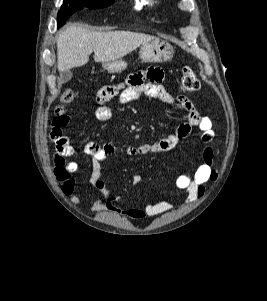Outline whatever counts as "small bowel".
<instances>
[{"instance_id":"1","label":"small bowel","mask_w":267,"mask_h":301,"mask_svg":"<svg viewBox=\"0 0 267 301\" xmlns=\"http://www.w3.org/2000/svg\"><path fill=\"white\" fill-rule=\"evenodd\" d=\"M164 73L158 68H149L130 74L127 79L119 84L106 85L101 87L95 95L96 110L95 117L99 121H107L113 115V109L109 102L113 99L121 104L132 102L141 96H147L160 100L168 105L180 103L187 111V122L179 125L169 136L158 142H144L137 146L118 147L112 143H98L90 141L84 146V153L92 159V172L89 184L102 194V200L95 204L99 211L107 210L120 213L131 218L141 219L145 217H156L169 211L172 204L169 200H161L154 203H147L143 208H129L120 210L117 208L119 197L112 196L106 188L101 176L103 162L110 156L125 153L130 156L146 155L158 152H167L176 147L180 140L186 138L192 127H198L201 131V140L206 147L203 150V160L193 173L179 175L175 180V187L185 191L186 203H192L203 196L204 185L213 182L217 173L213 168V151L209 144L214 140L215 132L213 122L209 117L202 116L191 100L185 96H172L162 85ZM69 117L63 106L55 110V117L52 123L50 138L55 145L54 174L60 183L62 192L68 196L72 203H78L79 199L75 192V180L72 177L77 172L78 166L75 162L66 159L75 153L69 139L63 135V128L67 125ZM142 181L140 175L133 177V184L138 185Z\"/></svg>"}]
</instances>
